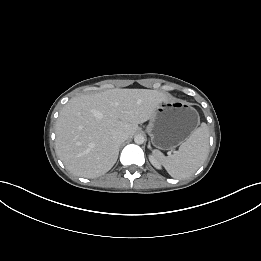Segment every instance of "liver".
<instances>
[{"label": "liver", "mask_w": 261, "mask_h": 261, "mask_svg": "<svg viewBox=\"0 0 261 261\" xmlns=\"http://www.w3.org/2000/svg\"><path fill=\"white\" fill-rule=\"evenodd\" d=\"M168 96L149 89H111L74 97L57 119L56 152L73 174L96 178L116 163L119 144L113 135H134Z\"/></svg>", "instance_id": "liver-1"}]
</instances>
